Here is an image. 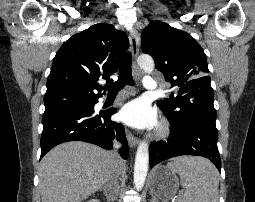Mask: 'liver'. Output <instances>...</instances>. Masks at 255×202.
I'll return each mask as SVG.
<instances>
[{
    "label": "liver",
    "instance_id": "1",
    "mask_svg": "<svg viewBox=\"0 0 255 202\" xmlns=\"http://www.w3.org/2000/svg\"><path fill=\"white\" fill-rule=\"evenodd\" d=\"M123 163L95 145L71 141L49 151L40 162L42 202H81L101 189Z\"/></svg>",
    "mask_w": 255,
    "mask_h": 202
}]
</instances>
